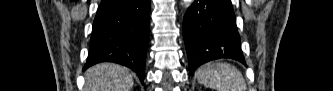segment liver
<instances>
[{"label":"liver","mask_w":333,"mask_h":91,"mask_svg":"<svg viewBox=\"0 0 333 91\" xmlns=\"http://www.w3.org/2000/svg\"><path fill=\"white\" fill-rule=\"evenodd\" d=\"M85 78V91H130L134 84L133 76L127 68L112 63H101L89 68Z\"/></svg>","instance_id":"liver-1"}]
</instances>
